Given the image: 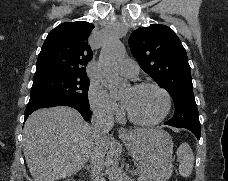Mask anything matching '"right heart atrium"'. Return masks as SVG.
<instances>
[{"label": "right heart atrium", "instance_id": "d8ad5b80", "mask_svg": "<svg viewBox=\"0 0 228 181\" xmlns=\"http://www.w3.org/2000/svg\"><path fill=\"white\" fill-rule=\"evenodd\" d=\"M89 98L91 107L96 113L106 118L120 115V108L102 85L92 84L89 89Z\"/></svg>", "mask_w": 228, "mask_h": 181}]
</instances>
